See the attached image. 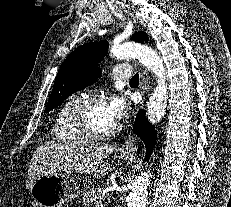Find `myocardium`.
I'll return each mask as SVG.
<instances>
[{
	"instance_id": "f54148a6",
	"label": "myocardium",
	"mask_w": 231,
	"mask_h": 207,
	"mask_svg": "<svg viewBox=\"0 0 231 207\" xmlns=\"http://www.w3.org/2000/svg\"><path fill=\"white\" fill-rule=\"evenodd\" d=\"M98 103H104V99L102 96L88 95L79 99V101L76 103V105L72 110L71 113L72 124L76 129V131L78 132V134L83 139L90 140V141H102L113 137L120 130L119 123H116L113 128L103 133L95 132L89 127V125L86 122L87 110L92 105Z\"/></svg>"
}]
</instances>
